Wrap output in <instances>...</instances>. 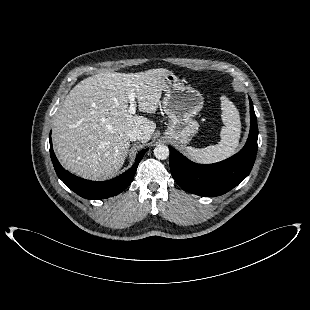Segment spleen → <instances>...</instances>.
<instances>
[{"instance_id": "1", "label": "spleen", "mask_w": 310, "mask_h": 310, "mask_svg": "<svg viewBox=\"0 0 310 310\" xmlns=\"http://www.w3.org/2000/svg\"><path fill=\"white\" fill-rule=\"evenodd\" d=\"M222 122L221 141L202 149L186 147L187 155L198 163H216L222 161L236 151L241 135L240 115L235 105L226 97H221Z\"/></svg>"}]
</instances>
